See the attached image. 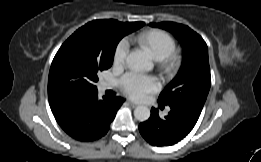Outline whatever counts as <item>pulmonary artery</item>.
Returning <instances> with one entry per match:
<instances>
[{
    "label": "pulmonary artery",
    "mask_w": 261,
    "mask_h": 162,
    "mask_svg": "<svg viewBox=\"0 0 261 162\" xmlns=\"http://www.w3.org/2000/svg\"><path fill=\"white\" fill-rule=\"evenodd\" d=\"M102 88H103L104 90L109 89V88H110V85L107 84V83H104V84L102 85Z\"/></svg>",
    "instance_id": "pulmonary-artery-1"
}]
</instances>
